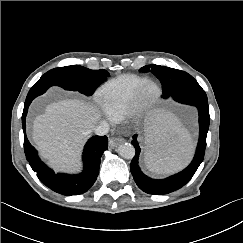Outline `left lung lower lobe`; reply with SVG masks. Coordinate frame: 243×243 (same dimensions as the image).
<instances>
[{"label": "left lung lower lobe", "instance_id": "obj_1", "mask_svg": "<svg viewBox=\"0 0 243 243\" xmlns=\"http://www.w3.org/2000/svg\"><path fill=\"white\" fill-rule=\"evenodd\" d=\"M172 98L179 103L197 107L200 126L198 145L195 156L189 166L175 175L157 180L146 176L139 168L138 159L141 149L136 140L137 135H134L131 143L135 147L136 153L130 164V169L138 187L148 194L164 195L180 189L193 177L204 158L206 136L210 123L208 100L205 91L199 86L177 93Z\"/></svg>", "mask_w": 243, "mask_h": 243}]
</instances>
